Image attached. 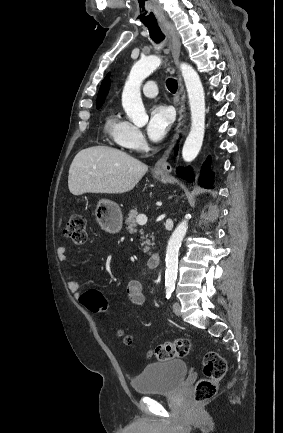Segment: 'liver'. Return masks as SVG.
<instances>
[{"label":"liver","instance_id":"1","mask_svg":"<svg viewBox=\"0 0 283 433\" xmlns=\"http://www.w3.org/2000/svg\"><path fill=\"white\" fill-rule=\"evenodd\" d=\"M148 166L123 150L90 146L77 152L71 162L68 188L84 192H128L141 180Z\"/></svg>","mask_w":283,"mask_h":433}]
</instances>
